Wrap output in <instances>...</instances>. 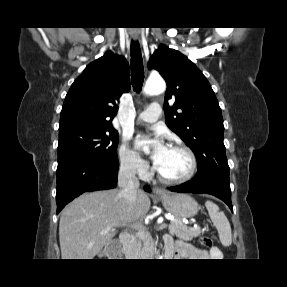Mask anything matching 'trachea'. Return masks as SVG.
<instances>
[{
    "mask_svg": "<svg viewBox=\"0 0 287 287\" xmlns=\"http://www.w3.org/2000/svg\"><path fill=\"white\" fill-rule=\"evenodd\" d=\"M130 55L132 86L135 92H140L144 82V67L139 42H132Z\"/></svg>",
    "mask_w": 287,
    "mask_h": 287,
    "instance_id": "1",
    "label": "trachea"
}]
</instances>
